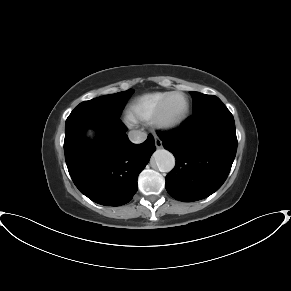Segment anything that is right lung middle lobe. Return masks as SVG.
<instances>
[{"label":"right lung middle lobe","instance_id":"obj_1","mask_svg":"<svg viewBox=\"0 0 291 291\" xmlns=\"http://www.w3.org/2000/svg\"><path fill=\"white\" fill-rule=\"evenodd\" d=\"M133 93V89L101 96L77 105L72 112L88 111L111 115L119 118L127 99Z\"/></svg>","mask_w":291,"mask_h":291}]
</instances>
